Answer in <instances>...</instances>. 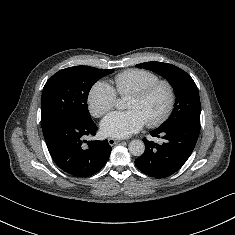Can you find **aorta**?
<instances>
[{
    "label": "aorta",
    "mask_w": 235,
    "mask_h": 235,
    "mask_svg": "<svg viewBox=\"0 0 235 235\" xmlns=\"http://www.w3.org/2000/svg\"><path fill=\"white\" fill-rule=\"evenodd\" d=\"M117 107L118 108H123L124 107V104H123L122 100H119L117 102ZM128 149H129V152L133 156H141L145 151V144L141 140H132L129 143Z\"/></svg>",
    "instance_id": "aorta-1"
}]
</instances>
